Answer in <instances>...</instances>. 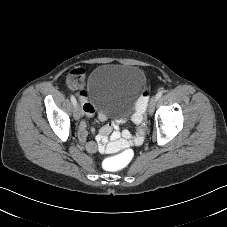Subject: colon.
<instances>
[{
  "instance_id": "5ec220e1",
  "label": "colon",
  "mask_w": 227,
  "mask_h": 227,
  "mask_svg": "<svg viewBox=\"0 0 227 227\" xmlns=\"http://www.w3.org/2000/svg\"><path fill=\"white\" fill-rule=\"evenodd\" d=\"M79 80H80L79 75H72L67 78L66 82L70 86H77L79 84ZM146 103H147V91L146 89H144L142 91L141 97L136 106V113L134 116V121L136 123L142 122L143 120L142 110L146 108ZM113 162L120 167L126 165L128 163L127 153L121 152L120 154L114 157Z\"/></svg>"
}]
</instances>
